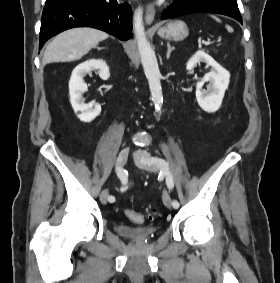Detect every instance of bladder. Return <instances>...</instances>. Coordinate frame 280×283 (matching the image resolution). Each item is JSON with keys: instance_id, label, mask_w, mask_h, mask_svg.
<instances>
[{"instance_id": "31cf9c89", "label": "bladder", "mask_w": 280, "mask_h": 283, "mask_svg": "<svg viewBox=\"0 0 280 283\" xmlns=\"http://www.w3.org/2000/svg\"><path fill=\"white\" fill-rule=\"evenodd\" d=\"M114 229L119 235L136 242H144L151 239L157 231L154 225L129 226L122 222H117Z\"/></svg>"}]
</instances>
